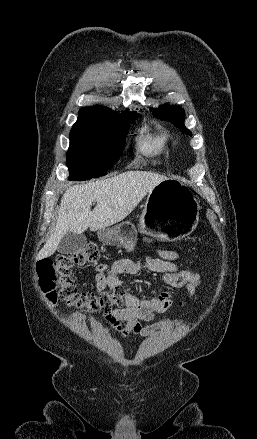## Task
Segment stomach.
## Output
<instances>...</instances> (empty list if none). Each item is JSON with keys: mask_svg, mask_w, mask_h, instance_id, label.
<instances>
[{"mask_svg": "<svg viewBox=\"0 0 257 439\" xmlns=\"http://www.w3.org/2000/svg\"><path fill=\"white\" fill-rule=\"evenodd\" d=\"M199 209L195 195L184 183L167 178L149 191L138 227L153 237L178 241L195 230ZM98 236L106 244L131 252L137 242V229L130 221H123L100 229Z\"/></svg>", "mask_w": 257, "mask_h": 439, "instance_id": "stomach-1", "label": "stomach"}]
</instances>
